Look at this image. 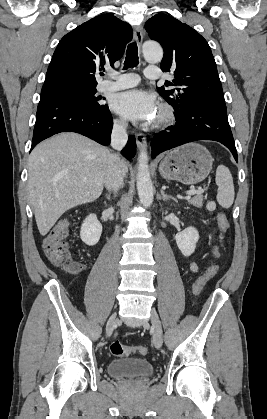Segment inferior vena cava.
<instances>
[{"instance_id":"602c4592","label":"inferior vena cava","mask_w":267,"mask_h":419,"mask_svg":"<svg viewBox=\"0 0 267 419\" xmlns=\"http://www.w3.org/2000/svg\"><path fill=\"white\" fill-rule=\"evenodd\" d=\"M127 124L123 121L114 123L111 134V146L120 151L127 143L128 135L126 132ZM125 171L123 169V162L120 159L119 153H111L107 161V170L105 175V187L107 190L116 192L123 186V179Z\"/></svg>"}]
</instances>
